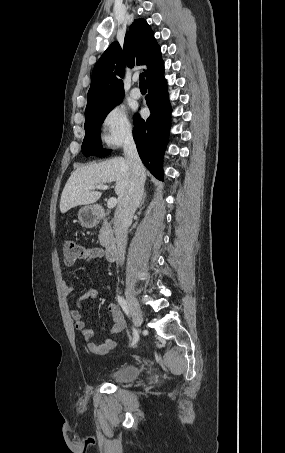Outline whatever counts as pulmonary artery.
Masks as SVG:
<instances>
[{"instance_id":"1","label":"pulmonary artery","mask_w":285,"mask_h":453,"mask_svg":"<svg viewBox=\"0 0 285 453\" xmlns=\"http://www.w3.org/2000/svg\"><path fill=\"white\" fill-rule=\"evenodd\" d=\"M136 80H137V79L135 78L134 81L136 82ZM130 95H131L133 98H135V99L140 98V97H141V91H140V89H139L138 87H133V88L131 89V91H130Z\"/></svg>"}]
</instances>
